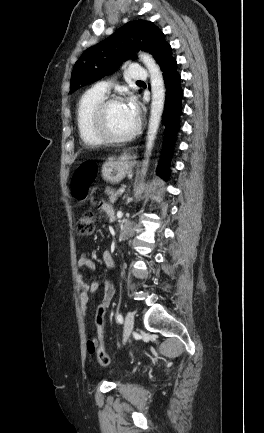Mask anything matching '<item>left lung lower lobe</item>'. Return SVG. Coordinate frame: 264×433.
Instances as JSON below:
<instances>
[{"label": "left lung lower lobe", "mask_w": 264, "mask_h": 433, "mask_svg": "<svg viewBox=\"0 0 264 433\" xmlns=\"http://www.w3.org/2000/svg\"><path fill=\"white\" fill-rule=\"evenodd\" d=\"M176 64L171 52L163 56L159 61L165 82L166 101L163 113V124L165 125L163 149L157 172L164 179H168L170 174L169 162L173 153L176 133L179 129V116L182 111L183 92L180 86L181 78L176 71Z\"/></svg>", "instance_id": "obj_1"}]
</instances>
